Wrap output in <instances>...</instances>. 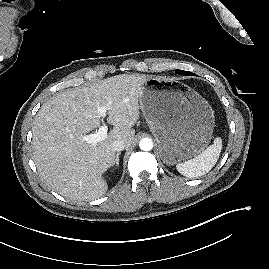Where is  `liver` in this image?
Returning <instances> with one entry per match:
<instances>
[{"instance_id":"6515ba94","label":"liver","mask_w":269,"mask_h":269,"mask_svg":"<svg viewBox=\"0 0 269 269\" xmlns=\"http://www.w3.org/2000/svg\"><path fill=\"white\" fill-rule=\"evenodd\" d=\"M148 78L144 74L112 76L58 93L42 105L32 126L33 158L49 188L71 201H91L107 192L103 174L116 158L111 145L115 140L132 144V127L140 116L139 97ZM98 107L107 108V122L113 129L93 146L81 136L100 126Z\"/></svg>"}]
</instances>
